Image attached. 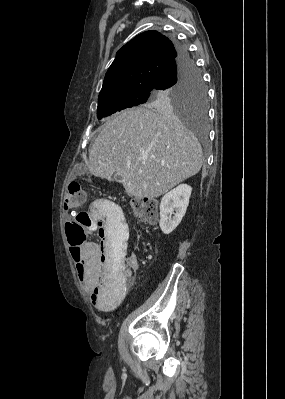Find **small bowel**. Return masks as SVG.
Masks as SVG:
<instances>
[{
  "label": "small bowel",
  "mask_w": 285,
  "mask_h": 399,
  "mask_svg": "<svg viewBox=\"0 0 285 399\" xmlns=\"http://www.w3.org/2000/svg\"><path fill=\"white\" fill-rule=\"evenodd\" d=\"M108 211L106 219L103 213ZM91 218L85 228L96 233L100 241L84 242L79 247L76 267L82 268L81 281L91 291L90 300L100 311L111 310L126 293L128 281L118 277L120 268L133 270L137 267L135 255L125 256L124 248L128 238V224L114 204L98 198L92 201L88 209ZM120 250L114 255L113 246Z\"/></svg>",
  "instance_id": "obj_1"
}]
</instances>
